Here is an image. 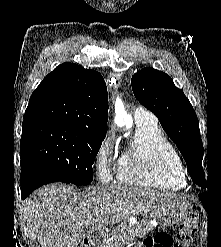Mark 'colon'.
<instances>
[{
  "instance_id": "1",
  "label": "colon",
  "mask_w": 221,
  "mask_h": 247,
  "mask_svg": "<svg viewBox=\"0 0 221 247\" xmlns=\"http://www.w3.org/2000/svg\"><path fill=\"white\" fill-rule=\"evenodd\" d=\"M197 231V215L192 214L180 225L176 241L166 234H157L147 238L145 244L148 247H191L192 239ZM78 247H90L88 242L81 243Z\"/></svg>"
}]
</instances>
